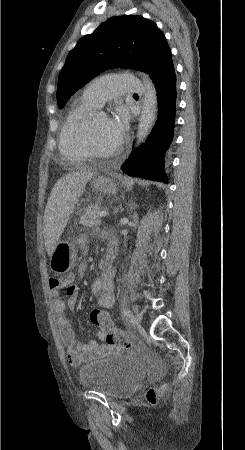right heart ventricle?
<instances>
[{"instance_id": "right-heart-ventricle-1", "label": "right heart ventricle", "mask_w": 245, "mask_h": 450, "mask_svg": "<svg viewBox=\"0 0 245 450\" xmlns=\"http://www.w3.org/2000/svg\"><path fill=\"white\" fill-rule=\"evenodd\" d=\"M97 107L83 94L75 99L60 132L61 153L75 161H86L90 157L86 141L88 112Z\"/></svg>"}]
</instances>
